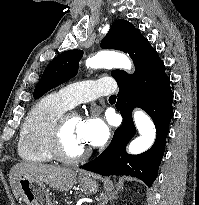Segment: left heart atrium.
Returning a JSON list of instances; mask_svg holds the SVG:
<instances>
[{"instance_id":"1","label":"left heart atrium","mask_w":199,"mask_h":205,"mask_svg":"<svg viewBox=\"0 0 199 205\" xmlns=\"http://www.w3.org/2000/svg\"><path fill=\"white\" fill-rule=\"evenodd\" d=\"M79 132L86 144L100 146L104 144L109 137V126L99 117H90L81 120Z\"/></svg>"}]
</instances>
